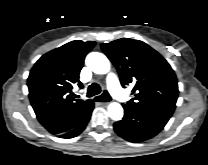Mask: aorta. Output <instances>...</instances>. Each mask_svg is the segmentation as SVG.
<instances>
[{
  "instance_id": "762f6f07",
  "label": "aorta",
  "mask_w": 208,
  "mask_h": 165,
  "mask_svg": "<svg viewBox=\"0 0 208 165\" xmlns=\"http://www.w3.org/2000/svg\"><path fill=\"white\" fill-rule=\"evenodd\" d=\"M86 65L96 74H106L110 71L108 58L99 52H91L86 57ZM109 117L114 121H119L123 117V108L117 102H112L108 106Z\"/></svg>"
}]
</instances>
